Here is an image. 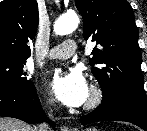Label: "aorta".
Listing matches in <instances>:
<instances>
[{
  "label": "aorta",
  "mask_w": 147,
  "mask_h": 131,
  "mask_svg": "<svg viewBox=\"0 0 147 131\" xmlns=\"http://www.w3.org/2000/svg\"><path fill=\"white\" fill-rule=\"evenodd\" d=\"M79 24V18L75 13H66L60 16L54 24V32L57 35H67L73 32Z\"/></svg>",
  "instance_id": "obj_1"
}]
</instances>
